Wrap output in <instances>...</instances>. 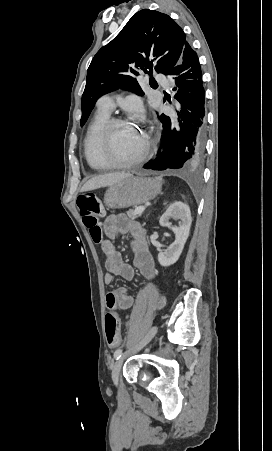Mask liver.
<instances>
[{"label":"liver","instance_id":"obj_1","mask_svg":"<svg viewBox=\"0 0 272 451\" xmlns=\"http://www.w3.org/2000/svg\"><path fill=\"white\" fill-rule=\"evenodd\" d=\"M131 174H125V172H112V174H104V176H97V178H91L88 182H85L81 188V192H88V190H96V188H103V186H113L117 184L123 178H127Z\"/></svg>","mask_w":272,"mask_h":451}]
</instances>
